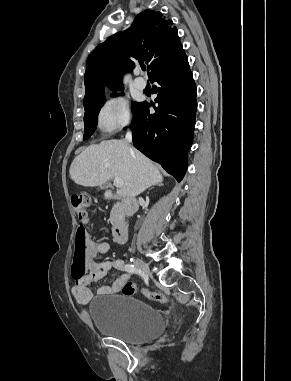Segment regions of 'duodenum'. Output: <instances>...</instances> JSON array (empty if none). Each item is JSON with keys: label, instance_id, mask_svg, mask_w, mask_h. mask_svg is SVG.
Returning a JSON list of instances; mask_svg holds the SVG:
<instances>
[{"label": "duodenum", "instance_id": "1", "mask_svg": "<svg viewBox=\"0 0 291 381\" xmlns=\"http://www.w3.org/2000/svg\"><path fill=\"white\" fill-rule=\"evenodd\" d=\"M110 199H121L118 208V219L113 226V237L117 243H125L128 235V223L124 215L134 212L137 209V201L130 197L120 198L116 194L108 193Z\"/></svg>", "mask_w": 291, "mask_h": 381}]
</instances>
